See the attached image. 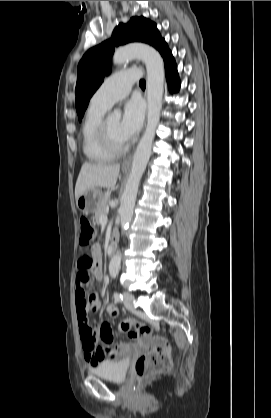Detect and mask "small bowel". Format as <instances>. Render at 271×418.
<instances>
[{
	"label": "small bowel",
	"instance_id": "small-bowel-1",
	"mask_svg": "<svg viewBox=\"0 0 271 418\" xmlns=\"http://www.w3.org/2000/svg\"><path fill=\"white\" fill-rule=\"evenodd\" d=\"M86 254L76 257L75 308L84 357L86 362L94 367L106 360L119 357L130 347L124 342L113 343L109 323H98L93 328L87 322V314L90 311L97 312L101 307L98 295L88 289L91 287V277L102 280L103 275L100 248L88 245ZM107 312L111 318L117 315V311L112 305H108ZM124 332L129 336L130 330Z\"/></svg>",
	"mask_w": 271,
	"mask_h": 418
}]
</instances>
